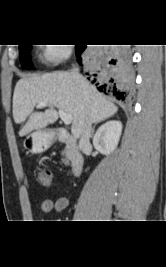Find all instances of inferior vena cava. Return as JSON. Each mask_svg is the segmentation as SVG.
I'll list each match as a JSON object with an SVG mask.
<instances>
[{"label": "inferior vena cava", "instance_id": "obj_1", "mask_svg": "<svg viewBox=\"0 0 166 267\" xmlns=\"http://www.w3.org/2000/svg\"><path fill=\"white\" fill-rule=\"evenodd\" d=\"M71 76L76 83L81 84L82 86L85 85V80L80 75L79 69L73 68L71 70ZM91 136H92V123L88 122V123H86L84 130H83V133L81 134V138L79 140V148L80 149L89 145Z\"/></svg>", "mask_w": 166, "mask_h": 267}]
</instances>
